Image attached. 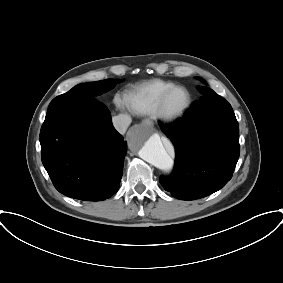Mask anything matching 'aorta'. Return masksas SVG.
I'll list each match as a JSON object with an SVG mask.
<instances>
[{
  "instance_id": "762f6f07",
  "label": "aorta",
  "mask_w": 283,
  "mask_h": 283,
  "mask_svg": "<svg viewBox=\"0 0 283 283\" xmlns=\"http://www.w3.org/2000/svg\"><path fill=\"white\" fill-rule=\"evenodd\" d=\"M129 145L139 156L156 168L168 173L173 169L174 161L166 151L163 141L157 133L145 126H137L129 136ZM171 146V144L169 143Z\"/></svg>"
}]
</instances>
